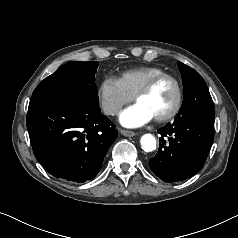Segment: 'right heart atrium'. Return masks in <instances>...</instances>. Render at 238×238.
Masks as SVG:
<instances>
[{"instance_id": "d8ad5b80", "label": "right heart atrium", "mask_w": 238, "mask_h": 238, "mask_svg": "<svg viewBox=\"0 0 238 238\" xmlns=\"http://www.w3.org/2000/svg\"><path fill=\"white\" fill-rule=\"evenodd\" d=\"M98 98L104 113L115 116L121 108L132 100L120 84L118 78L105 77L98 88Z\"/></svg>"}]
</instances>
